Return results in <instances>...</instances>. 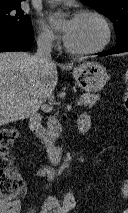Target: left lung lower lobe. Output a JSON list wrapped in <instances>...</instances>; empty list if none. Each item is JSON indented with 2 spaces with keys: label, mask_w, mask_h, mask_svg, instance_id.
Returning a JSON list of instances; mask_svg holds the SVG:
<instances>
[{
  "label": "left lung lower lobe",
  "mask_w": 128,
  "mask_h": 213,
  "mask_svg": "<svg viewBox=\"0 0 128 213\" xmlns=\"http://www.w3.org/2000/svg\"><path fill=\"white\" fill-rule=\"evenodd\" d=\"M122 52H128V39L122 41L119 44H116L115 47L111 48L108 51L99 53L100 56L110 55V54H116V53H122Z\"/></svg>",
  "instance_id": "left-lung-lower-lobe-1"
}]
</instances>
